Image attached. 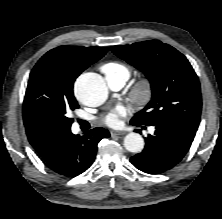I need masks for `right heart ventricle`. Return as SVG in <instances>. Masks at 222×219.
<instances>
[{"instance_id":"obj_1","label":"right heart ventricle","mask_w":222,"mask_h":219,"mask_svg":"<svg viewBox=\"0 0 222 219\" xmlns=\"http://www.w3.org/2000/svg\"><path fill=\"white\" fill-rule=\"evenodd\" d=\"M106 76L121 75L127 80L130 77V69L120 62H108L101 67Z\"/></svg>"}]
</instances>
